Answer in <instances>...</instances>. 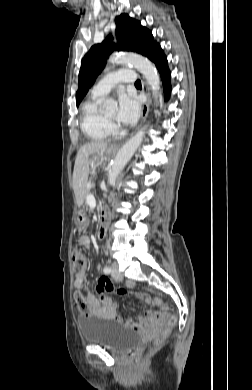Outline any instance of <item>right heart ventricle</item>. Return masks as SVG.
Here are the masks:
<instances>
[{"instance_id": "obj_1", "label": "right heart ventricle", "mask_w": 252, "mask_h": 390, "mask_svg": "<svg viewBox=\"0 0 252 390\" xmlns=\"http://www.w3.org/2000/svg\"><path fill=\"white\" fill-rule=\"evenodd\" d=\"M100 99L92 95L82 105L81 130L94 141L106 140L111 136L110 125L99 111Z\"/></svg>"}]
</instances>
